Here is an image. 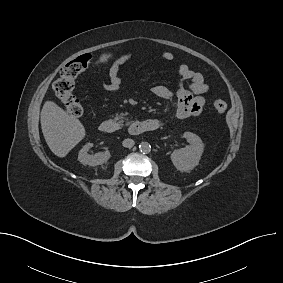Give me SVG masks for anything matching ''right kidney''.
<instances>
[{"mask_svg":"<svg viewBox=\"0 0 283 283\" xmlns=\"http://www.w3.org/2000/svg\"><path fill=\"white\" fill-rule=\"evenodd\" d=\"M92 146L93 144L91 143H88L85 146H83V148L79 151L78 160L83 165H89V166H97L106 163L111 156L110 152L105 151V152L96 153L95 155H90L88 154V150Z\"/></svg>","mask_w":283,"mask_h":283,"instance_id":"ca27d5eb","label":"right kidney"}]
</instances>
